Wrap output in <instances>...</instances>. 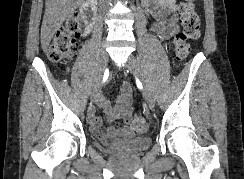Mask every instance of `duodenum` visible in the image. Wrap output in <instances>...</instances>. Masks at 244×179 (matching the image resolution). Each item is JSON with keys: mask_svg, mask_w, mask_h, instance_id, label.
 I'll list each match as a JSON object with an SVG mask.
<instances>
[{"mask_svg": "<svg viewBox=\"0 0 244 179\" xmlns=\"http://www.w3.org/2000/svg\"><path fill=\"white\" fill-rule=\"evenodd\" d=\"M96 5L97 2L95 0H85L80 8V15L88 24L91 32L93 30L94 17L97 11Z\"/></svg>", "mask_w": 244, "mask_h": 179, "instance_id": "duodenum-1", "label": "duodenum"}]
</instances>
